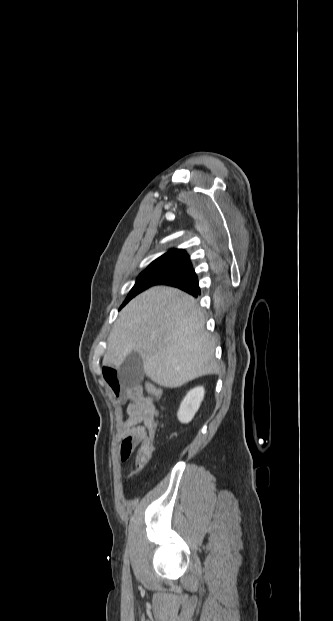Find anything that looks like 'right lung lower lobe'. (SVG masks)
Instances as JSON below:
<instances>
[{"instance_id": "1", "label": "right lung lower lobe", "mask_w": 333, "mask_h": 621, "mask_svg": "<svg viewBox=\"0 0 333 621\" xmlns=\"http://www.w3.org/2000/svg\"><path fill=\"white\" fill-rule=\"evenodd\" d=\"M158 284L177 287L194 297L200 294L198 278L189 259L179 269L161 278L156 285Z\"/></svg>"}]
</instances>
